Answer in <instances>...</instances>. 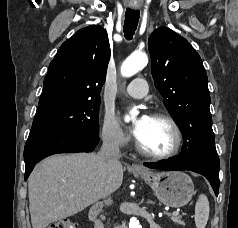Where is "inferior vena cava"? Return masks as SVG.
Here are the masks:
<instances>
[{
	"label": "inferior vena cava",
	"mask_w": 238,
	"mask_h": 228,
	"mask_svg": "<svg viewBox=\"0 0 238 228\" xmlns=\"http://www.w3.org/2000/svg\"><path fill=\"white\" fill-rule=\"evenodd\" d=\"M98 157L102 163L118 162L121 157L119 141L115 137H104ZM102 198L106 206L112 205V200L109 194L102 193Z\"/></svg>",
	"instance_id": "inferior-vena-cava-1"
}]
</instances>
